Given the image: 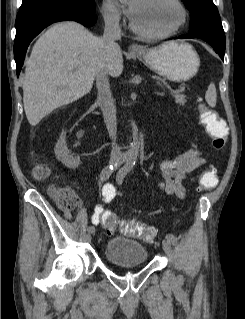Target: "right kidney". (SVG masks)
I'll use <instances>...</instances> for the list:
<instances>
[{"instance_id":"right-kidney-1","label":"right kidney","mask_w":245,"mask_h":319,"mask_svg":"<svg viewBox=\"0 0 245 319\" xmlns=\"http://www.w3.org/2000/svg\"><path fill=\"white\" fill-rule=\"evenodd\" d=\"M66 132H62L60 135L59 140L57 141V144L55 145V155L56 158L61 161L65 166L68 168L75 169L80 164V158L73 156L70 152V150L67 147V143L65 140Z\"/></svg>"}]
</instances>
